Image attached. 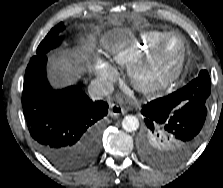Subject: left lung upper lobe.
<instances>
[{
	"mask_svg": "<svg viewBox=\"0 0 223 188\" xmlns=\"http://www.w3.org/2000/svg\"><path fill=\"white\" fill-rule=\"evenodd\" d=\"M210 91V76L206 70H201L196 79L169 97L180 103L191 101L206 106ZM140 144L142 157L156 165H170L184 158L178 153L177 142L169 133L162 130L150 131L144 128Z\"/></svg>",
	"mask_w": 223,
	"mask_h": 188,
	"instance_id": "left-lung-upper-lobe-1",
	"label": "left lung upper lobe"
}]
</instances>
